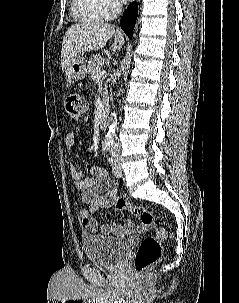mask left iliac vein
<instances>
[{"label":"left iliac vein","mask_w":239,"mask_h":303,"mask_svg":"<svg viewBox=\"0 0 239 303\" xmlns=\"http://www.w3.org/2000/svg\"><path fill=\"white\" fill-rule=\"evenodd\" d=\"M112 172L117 178H120L122 176V169L118 159L112 164Z\"/></svg>","instance_id":"obj_1"}]
</instances>
